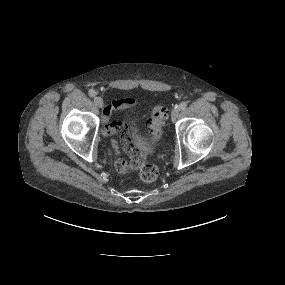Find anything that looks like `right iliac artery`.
Instances as JSON below:
<instances>
[{
  "label": "right iliac artery",
  "instance_id": "82829eb1",
  "mask_svg": "<svg viewBox=\"0 0 285 285\" xmlns=\"http://www.w3.org/2000/svg\"><path fill=\"white\" fill-rule=\"evenodd\" d=\"M96 92L94 90H89V96L94 97Z\"/></svg>",
  "mask_w": 285,
  "mask_h": 285
}]
</instances>
